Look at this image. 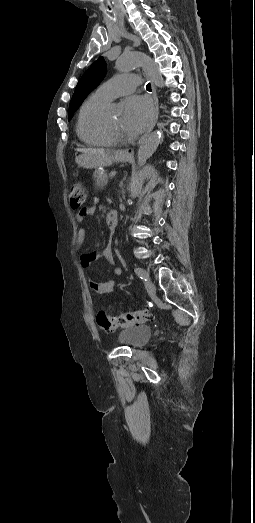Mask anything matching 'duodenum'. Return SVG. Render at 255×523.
Segmentation results:
<instances>
[{"mask_svg":"<svg viewBox=\"0 0 255 523\" xmlns=\"http://www.w3.org/2000/svg\"><path fill=\"white\" fill-rule=\"evenodd\" d=\"M118 223V213L115 210L110 211L106 216V224L110 229H114Z\"/></svg>","mask_w":255,"mask_h":523,"instance_id":"1","label":"duodenum"}]
</instances>
